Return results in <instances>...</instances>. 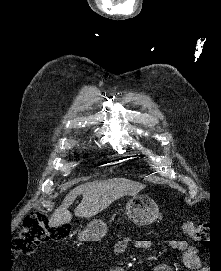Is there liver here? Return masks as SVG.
I'll return each mask as SVG.
<instances>
[{
    "instance_id": "1",
    "label": "liver",
    "mask_w": 221,
    "mask_h": 271,
    "mask_svg": "<svg viewBox=\"0 0 221 271\" xmlns=\"http://www.w3.org/2000/svg\"><path fill=\"white\" fill-rule=\"evenodd\" d=\"M123 183H118L117 179L113 181H90V183H82L75 187L74 191H70L66 195L62 205L55 209L53 215L49 219L50 227H57L63 223H69L72 219L68 207L73 203L78 193H83V199L77 207H75V215L79 217H93L106 207H109L112 201L119 199L125 195L126 191H121Z\"/></svg>"
}]
</instances>
